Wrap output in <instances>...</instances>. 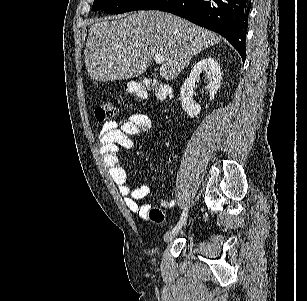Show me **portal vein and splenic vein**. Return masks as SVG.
Returning <instances> with one entry per match:
<instances>
[{"label":"portal vein and splenic vein","instance_id":"portal-vein-and-splenic-vein-1","mask_svg":"<svg viewBox=\"0 0 307 301\" xmlns=\"http://www.w3.org/2000/svg\"><path fill=\"white\" fill-rule=\"evenodd\" d=\"M154 60H155V62H159V64H160V62H164V58H163V56H161V54H155Z\"/></svg>","mask_w":307,"mask_h":301}]
</instances>
